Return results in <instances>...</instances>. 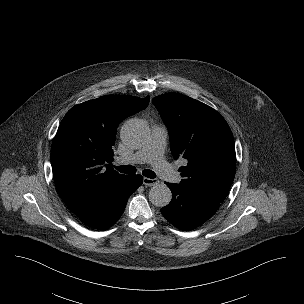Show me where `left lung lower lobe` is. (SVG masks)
<instances>
[{"label": "left lung lower lobe", "instance_id": "left-lung-lower-lobe-1", "mask_svg": "<svg viewBox=\"0 0 304 304\" xmlns=\"http://www.w3.org/2000/svg\"><path fill=\"white\" fill-rule=\"evenodd\" d=\"M172 191L171 202L161 209L168 222L182 230H191L211 218L220 206V202L207 198L180 184L165 182Z\"/></svg>", "mask_w": 304, "mask_h": 304}]
</instances>
